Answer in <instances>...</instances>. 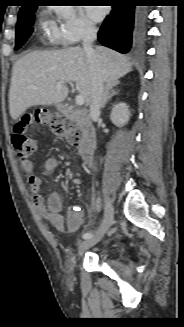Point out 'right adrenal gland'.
Listing matches in <instances>:
<instances>
[{"label": "right adrenal gland", "instance_id": "obj_1", "mask_svg": "<svg viewBox=\"0 0 184 327\" xmlns=\"http://www.w3.org/2000/svg\"><path fill=\"white\" fill-rule=\"evenodd\" d=\"M117 85L118 84H111V85L106 86L105 92H104V95H103L101 108H104L106 106V104L108 103V101H110L113 96L118 95L119 91H116L114 89V87L117 86Z\"/></svg>", "mask_w": 184, "mask_h": 327}]
</instances>
